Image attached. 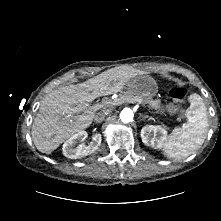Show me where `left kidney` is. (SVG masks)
<instances>
[{
	"label": "left kidney",
	"instance_id": "left-kidney-1",
	"mask_svg": "<svg viewBox=\"0 0 221 221\" xmlns=\"http://www.w3.org/2000/svg\"><path fill=\"white\" fill-rule=\"evenodd\" d=\"M141 138L147 146L162 148L167 139V131L160 125H146L141 129Z\"/></svg>",
	"mask_w": 221,
	"mask_h": 221
}]
</instances>
